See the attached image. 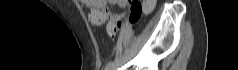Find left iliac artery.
<instances>
[{
	"instance_id": "left-iliac-artery-1",
	"label": "left iliac artery",
	"mask_w": 238,
	"mask_h": 70,
	"mask_svg": "<svg viewBox=\"0 0 238 70\" xmlns=\"http://www.w3.org/2000/svg\"><path fill=\"white\" fill-rule=\"evenodd\" d=\"M138 37L140 36L139 34L137 35ZM114 65V62L110 61L107 65H106V70H110Z\"/></svg>"
}]
</instances>
